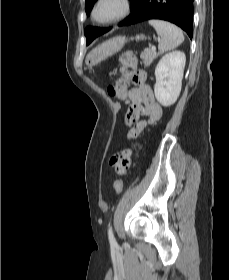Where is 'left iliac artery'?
<instances>
[{
  "label": "left iliac artery",
  "mask_w": 229,
  "mask_h": 280,
  "mask_svg": "<svg viewBox=\"0 0 229 280\" xmlns=\"http://www.w3.org/2000/svg\"><path fill=\"white\" fill-rule=\"evenodd\" d=\"M108 237H109L110 244L111 245H116V240H115V237L113 235V231H112L111 225L109 226Z\"/></svg>",
  "instance_id": "1"
}]
</instances>
